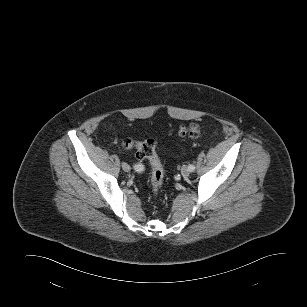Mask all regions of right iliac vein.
Returning a JSON list of instances; mask_svg holds the SVG:
<instances>
[{"label":"right iliac vein","mask_w":307,"mask_h":307,"mask_svg":"<svg viewBox=\"0 0 307 307\" xmlns=\"http://www.w3.org/2000/svg\"><path fill=\"white\" fill-rule=\"evenodd\" d=\"M122 169L125 171V172H129L131 170V167L130 165H128L127 163H122Z\"/></svg>","instance_id":"63e3f726"}]
</instances>
